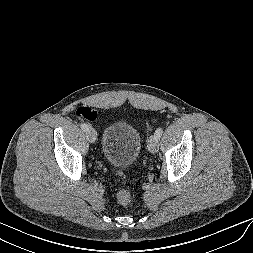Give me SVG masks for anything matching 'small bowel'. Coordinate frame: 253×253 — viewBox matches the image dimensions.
I'll list each match as a JSON object with an SVG mask.
<instances>
[{"mask_svg":"<svg viewBox=\"0 0 253 253\" xmlns=\"http://www.w3.org/2000/svg\"><path fill=\"white\" fill-rule=\"evenodd\" d=\"M96 117H97V114H96V112H95V116H94V118H93L92 120H94Z\"/></svg>","mask_w":253,"mask_h":253,"instance_id":"1","label":"small bowel"}]
</instances>
